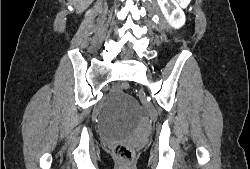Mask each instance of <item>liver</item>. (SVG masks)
<instances>
[{
	"label": "liver",
	"instance_id": "obj_1",
	"mask_svg": "<svg viewBox=\"0 0 250 169\" xmlns=\"http://www.w3.org/2000/svg\"><path fill=\"white\" fill-rule=\"evenodd\" d=\"M70 2L76 8V12H82V10H85L91 4L92 0H70Z\"/></svg>",
	"mask_w": 250,
	"mask_h": 169
}]
</instances>
